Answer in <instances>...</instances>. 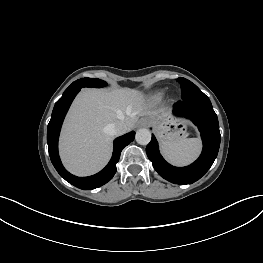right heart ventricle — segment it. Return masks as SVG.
I'll use <instances>...</instances> for the list:
<instances>
[{
    "label": "right heart ventricle",
    "mask_w": 263,
    "mask_h": 263,
    "mask_svg": "<svg viewBox=\"0 0 263 263\" xmlns=\"http://www.w3.org/2000/svg\"><path fill=\"white\" fill-rule=\"evenodd\" d=\"M164 94H165V92L163 90L155 91V92L149 94L148 101L152 104H157L163 99Z\"/></svg>",
    "instance_id": "right-heart-ventricle-1"
}]
</instances>
